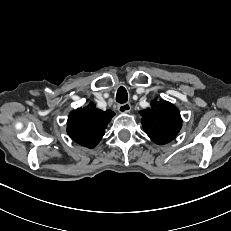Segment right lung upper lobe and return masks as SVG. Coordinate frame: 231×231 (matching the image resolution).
Returning a JSON list of instances; mask_svg holds the SVG:
<instances>
[{"instance_id":"cb5924a9","label":"right lung upper lobe","mask_w":231,"mask_h":231,"mask_svg":"<svg viewBox=\"0 0 231 231\" xmlns=\"http://www.w3.org/2000/svg\"><path fill=\"white\" fill-rule=\"evenodd\" d=\"M113 116L111 110L102 111L91 102L88 107L78 108L69 114L67 133L76 143L93 148L103 137Z\"/></svg>"}]
</instances>
